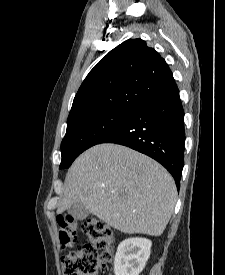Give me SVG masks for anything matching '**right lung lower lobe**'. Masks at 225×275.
<instances>
[{
    "label": "right lung lower lobe",
    "mask_w": 225,
    "mask_h": 275,
    "mask_svg": "<svg viewBox=\"0 0 225 275\" xmlns=\"http://www.w3.org/2000/svg\"><path fill=\"white\" fill-rule=\"evenodd\" d=\"M100 143L124 145L150 156L171 173L179 189L185 130L178 88L133 109Z\"/></svg>",
    "instance_id": "98d812e1"
}]
</instances>
